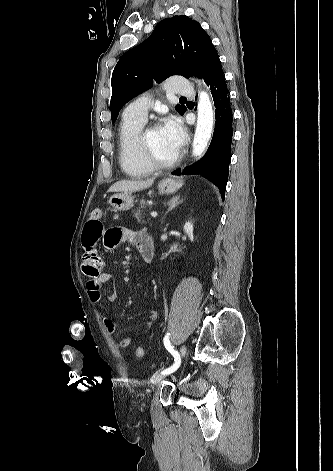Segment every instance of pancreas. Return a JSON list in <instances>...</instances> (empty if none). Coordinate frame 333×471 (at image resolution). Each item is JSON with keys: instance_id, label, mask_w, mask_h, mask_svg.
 Listing matches in <instances>:
<instances>
[{"instance_id": "cf45deb5", "label": "pancreas", "mask_w": 333, "mask_h": 471, "mask_svg": "<svg viewBox=\"0 0 333 471\" xmlns=\"http://www.w3.org/2000/svg\"><path fill=\"white\" fill-rule=\"evenodd\" d=\"M148 207V204L142 200L140 201V206L136 211H133L134 217L137 219L139 223H147L149 221V218H147V221L144 220V215L142 214L143 210H145Z\"/></svg>"}]
</instances>
